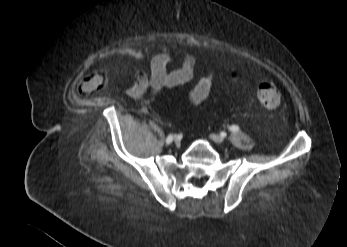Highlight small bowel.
I'll list each match as a JSON object with an SVG mask.
<instances>
[{
  "label": "small bowel",
  "instance_id": "c3829d8e",
  "mask_svg": "<svg viewBox=\"0 0 347 247\" xmlns=\"http://www.w3.org/2000/svg\"><path fill=\"white\" fill-rule=\"evenodd\" d=\"M125 58L140 61L143 53L137 48H127L121 52ZM172 57L170 50H161L153 56L150 62L149 74L143 70L134 72V81L126 89V94L133 99L143 98L148 92L152 95L159 93L163 89H174L193 78L194 69L197 61L195 51L185 54L181 65L169 71L168 63ZM107 77L106 73H97L85 77L79 84L82 93H89L97 90L104 84ZM214 81V74L210 71L206 76L197 81L187 95V101L191 106L202 104L210 95Z\"/></svg>",
  "mask_w": 347,
  "mask_h": 247
}]
</instances>
